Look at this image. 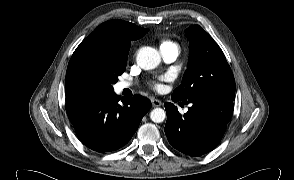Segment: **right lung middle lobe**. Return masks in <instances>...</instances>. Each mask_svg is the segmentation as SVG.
Masks as SVG:
<instances>
[{"label": "right lung middle lobe", "mask_w": 294, "mask_h": 180, "mask_svg": "<svg viewBox=\"0 0 294 180\" xmlns=\"http://www.w3.org/2000/svg\"><path fill=\"white\" fill-rule=\"evenodd\" d=\"M127 56L110 49L72 55L66 72L67 99L114 92L113 84L126 69Z\"/></svg>", "instance_id": "obj_1"}]
</instances>
